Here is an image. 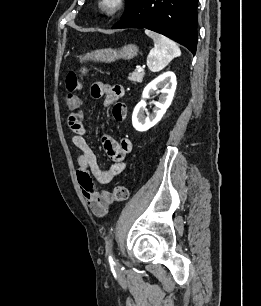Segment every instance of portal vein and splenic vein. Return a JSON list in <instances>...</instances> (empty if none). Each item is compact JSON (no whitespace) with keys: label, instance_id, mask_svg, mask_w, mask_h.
I'll list each match as a JSON object with an SVG mask.
<instances>
[{"label":"portal vein and splenic vein","instance_id":"obj_1","mask_svg":"<svg viewBox=\"0 0 261 306\" xmlns=\"http://www.w3.org/2000/svg\"><path fill=\"white\" fill-rule=\"evenodd\" d=\"M137 71H138V72H142V71H143V68H142V67H138Z\"/></svg>","mask_w":261,"mask_h":306}]
</instances>
